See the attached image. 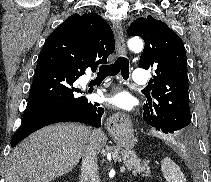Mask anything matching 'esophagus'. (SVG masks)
Listing matches in <instances>:
<instances>
[{"mask_svg": "<svg viewBox=\"0 0 211 182\" xmlns=\"http://www.w3.org/2000/svg\"><path fill=\"white\" fill-rule=\"evenodd\" d=\"M113 31H114L115 40H116L117 52L120 55H125L126 54V47H125L123 28H122L121 24L114 23L113 24ZM124 118H125V115H123L121 113L114 114L109 119L108 124L117 126L118 124H120L123 121Z\"/></svg>", "mask_w": 211, "mask_h": 182, "instance_id": "obj_1", "label": "esophagus"}]
</instances>
